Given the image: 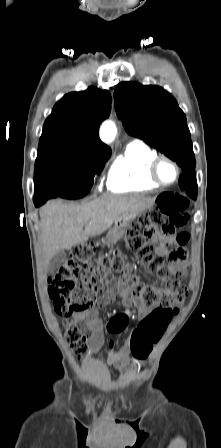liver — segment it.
Returning <instances> with one entry per match:
<instances>
[{"label":"liver","instance_id":"1","mask_svg":"<svg viewBox=\"0 0 221 448\" xmlns=\"http://www.w3.org/2000/svg\"><path fill=\"white\" fill-rule=\"evenodd\" d=\"M148 201L152 200L139 195H104L81 205L48 202L40 210L45 265L59 251L101 235L123 213Z\"/></svg>","mask_w":221,"mask_h":448}]
</instances>
